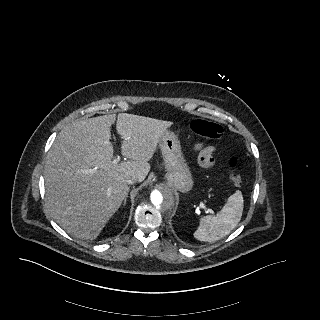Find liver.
Masks as SVG:
<instances>
[{
  "label": "liver",
  "mask_w": 320,
  "mask_h": 320,
  "mask_svg": "<svg viewBox=\"0 0 320 320\" xmlns=\"http://www.w3.org/2000/svg\"><path fill=\"white\" fill-rule=\"evenodd\" d=\"M116 121L122 154L113 164L111 126ZM173 122L120 113L79 119L57 136L44 169L46 206L52 218L70 235L98 237L129 192L126 179L142 182L150 171L161 135ZM93 168H98L92 172Z\"/></svg>",
  "instance_id": "obj_1"
}]
</instances>
